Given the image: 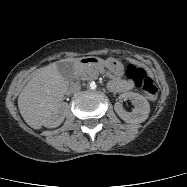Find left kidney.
<instances>
[{
  "label": "left kidney",
  "instance_id": "left-kidney-1",
  "mask_svg": "<svg viewBox=\"0 0 187 187\" xmlns=\"http://www.w3.org/2000/svg\"><path fill=\"white\" fill-rule=\"evenodd\" d=\"M119 99H129L135 105V108L130 113L126 112L120 103L115 104L117 114L126 123H142L148 118L150 106L148 101L142 95L134 92H128L121 94Z\"/></svg>",
  "mask_w": 187,
  "mask_h": 187
}]
</instances>
